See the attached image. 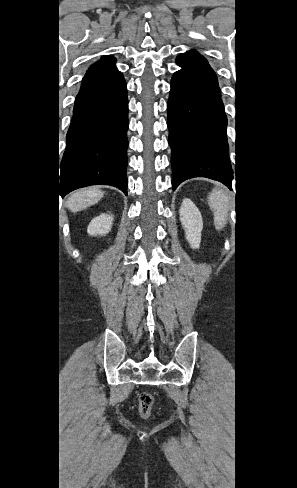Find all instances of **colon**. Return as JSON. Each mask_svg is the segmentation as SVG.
Listing matches in <instances>:
<instances>
[{"mask_svg":"<svg viewBox=\"0 0 297 488\" xmlns=\"http://www.w3.org/2000/svg\"><path fill=\"white\" fill-rule=\"evenodd\" d=\"M154 405V398L148 392H143L139 396L138 412L143 419L150 417Z\"/></svg>","mask_w":297,"mask_h":488,"instance_id":"colon-1","label":"colon"}]
</instances>
